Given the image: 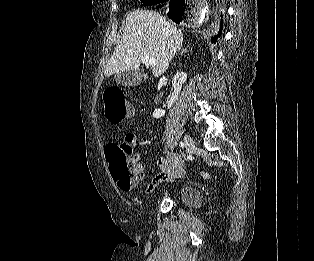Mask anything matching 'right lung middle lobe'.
I'll use <instances>...</instances> for the list:
<instances>
[{
  "instance_id": "1",
  "label": "right lung middle lobe",
  "mask_w": 314,
  "mask_h": 261,
  "mask_svg": "<svg viewBox=\"0 0 314 261\" xmlns=\"http://www.w3.org/2000/svg\"><path fill=\"white\" fill-rule=\"evenodd\" d=\"M162 0H141L144 6L155 5L161 2Z\"/></svg>"
}]
</instances>
